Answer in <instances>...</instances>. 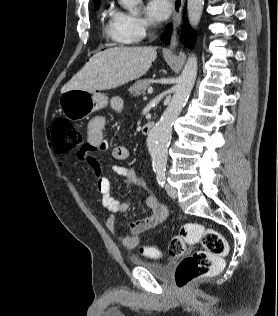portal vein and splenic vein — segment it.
Instances as JSON below:
<instances>
[{"label":"portal vein and splenic vein","mask_w":278,"mask_h":316,"mask_svg":"<svg viewBox=\"0 0 278 316\" xmlns=\"http://www.w3.org/2000/svg\"><path fill=\"white\" fill-rule=\"evenodd\" d=\"M153 92V87H149L148 88V93H152Z\"/></svg>","instance_id":"portal-vein-and-splenic-vein-1"}]
</instances>
